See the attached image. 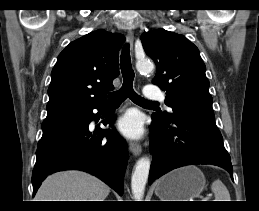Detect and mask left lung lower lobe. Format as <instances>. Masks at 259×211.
<instances>
[{
	"instance_id": "left-lung-lower-lobe-1",
	"label": "left lung lower lobe",
	"mask_w": 259,
	"mask_h": 211,
	"mask_svg": "<svg viewBox=\"0 0 259 211\" xmlns=\"http://www.w3.org/2000/svg\"><path fill=\"white\" fill-rule=\"evenodd\" d=\"M152 118L149 183L175 168L194 164L222 167L233 178L231 158L215 120L191 114L176 115L171 121Z\"/></svg>"
}]
</instances>
